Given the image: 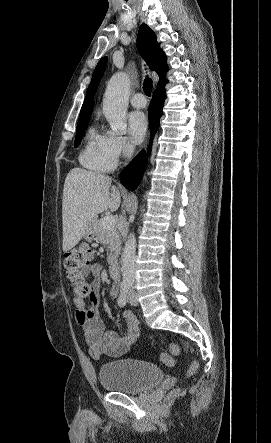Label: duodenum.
Segmentation results:
<instances>
[{"label":"duodenum","mask_w":271,"mask_h":443,"mask_svg":"<svg viewBox=\"0 0 271 443\" xmlns=\"http://www.w3.org/2000/svg\"><path fill=\"white\" fill-rule=\"evenodd\" d=\"M109 273L113 278L120 277V266L116 259L111 260L109 264Z\"/></svg>","instance_id":"obj_1"}]
</instances>
